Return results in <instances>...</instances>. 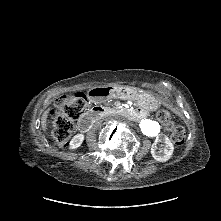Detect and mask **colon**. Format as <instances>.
Segmentation results:
<instances>
[{"label":"colon","instance_id":"colon-1","mask_svg":"<svg viewBox=\"0 0 221 221\" xmlns=\"http://www.w3.org/2000/svg\"><path fill=\"white\" fill-rule=\"evenodd\" d=\"M86 96L75 93L62 97L57 103V110L53 117V136L58 145L66 146L74 130V120L85 110ZM158 120L164 124L171 140L176 145H181L185 139V130L181 125L175 124L170 119V113L162 109L157 114Z\"/></svg>","mask_w":221,"mask_h":221}]
</instances>
